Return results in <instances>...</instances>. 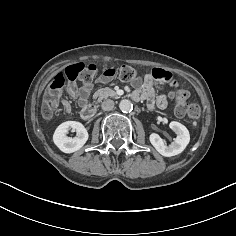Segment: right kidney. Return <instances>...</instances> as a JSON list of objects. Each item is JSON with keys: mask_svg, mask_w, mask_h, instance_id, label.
Here are the masks:
<instances>
[{"mask_svg": "<svg viewBox=\"0 0 236 236\" xmlns=\"http://www.w3.org/2000/svg\"><path fill=\"white\" fill-rule=\"evenodd\" d=\"M69 130L77 132V136L68 137ZM88 140V132L85 127L76 121H66L60 124L53 135L55 145L64 153H73L84 146Z\"/></svg>", "mask_w": 236, "mask_h": 236, "instance_id": "right-kidney-1", "label": "right kidney"}]
</instances>
